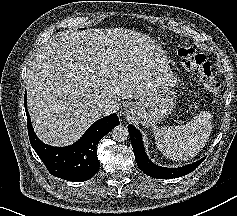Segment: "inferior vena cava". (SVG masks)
<instances>
[{"label": "inferior vena cava", "mask_w": 237, "mask_h": 216, "mask_svg": "<svg viewBox=\"0 0 237 216\" xmlns=\"http://www.w3.org/2000/svg\"><path fill=\"white\" fill-rule=\"evenodd\" d=\"M99 106L100 108H102L103 110H112V109H118L119 107V104L118 103H115L113 101H111L110 99H102L100 102H99Z\"/></svg>", "instance_id": "602c4592"}]
</instances>
